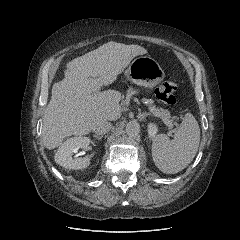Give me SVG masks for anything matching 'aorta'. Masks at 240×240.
Here are the masks:
<instances>
[{
    "mask_svg": "<svg viewBox=\"0 0 240 240\" xmlns=\"http://www.w3.org/2000/svg\"><path fill=\"white\" fill-rule=\"evenodd\" d=\"M125 131L129 136H136L140 132V124L135 120L129 121L126 125Z\"/></svg>",
    "mask_w": 240,
    "mask_h": 240,
    "instance_id": "obj_1",
    "label": "aorta"
}]
</instances>
